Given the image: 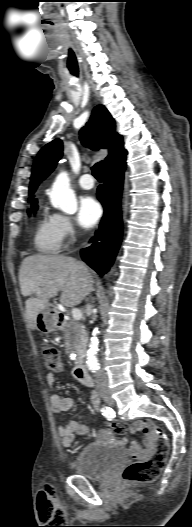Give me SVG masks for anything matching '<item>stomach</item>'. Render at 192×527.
Returning a JSON list of instances; mask_svg holds the SVG:
<instances>
[{"mask_svg":"<svg viewBox=\"0 0 192 527\" xmlns=\"http://www.w3.org/2000/svg\"><path fill=\"white\" fill-rule=\"evenodd\" d=\"M37 329L44 334L55 332L59 329L58 311L52 304L43 306L37 315Z\"/></svg>","mask_w":192,"mask_h":527,"instance_id":"obj_1","label":"stomach"}]
</instances>
